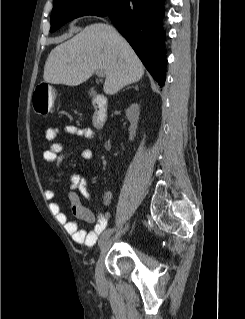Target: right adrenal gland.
<instances>
[{
    "instance_id": "1",
    "label": "right adrenal gland",
    "mask_w": 245,
    "mask_h": 319,
    "mask_svg": "<svg viewBox=\"0 0 245 319\" xmlns=\"http://www.w3.org/2000/svg\"><path fill=\"white\" fill-rule=\"evenodd\" d=\"M135 89L138 90V86L137 85L135 86Z\"/></svg>"
}]
</instances>
